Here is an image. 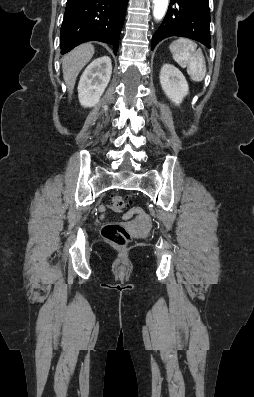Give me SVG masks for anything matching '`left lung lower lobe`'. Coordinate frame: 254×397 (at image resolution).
Listing matches in <instances>:
<instances>
[{"label":"left lung lower lobe","instance_id":"1","mask_svg":"<svg viewBox=\"0 0 254 397\" xmlns=\"http://www.w3.org/2000/svg\"><path fill=\"white\" fill-rule=\"evenodd\" d=\"M167 14L152 38V50L162 39L182 36L210 48L209 0H171Z\"/></svg>","mask_w":254,"mask_h":397}]
</instances>
